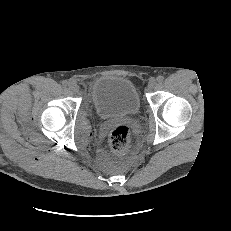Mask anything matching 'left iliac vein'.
Returning <instances> with one entry per match:
<instances>
[{
    "instance_id": "1",
    "label": "left iliac vein",
    "mask_w": 231,
    "mask_h": 231,
    "mask_svg": "<svg viewBox=\"0 0 231 231\" xmlns=\"http://www.w3.org/2000/svg\"><path fill=\"white\" fill-rule=\"evenodd\" d=\"M156 85H157V81L154 78H152V79L149 80L147 86H148V89L151 90V89L155 88Z\"/></svg>"
}]
</instances>
